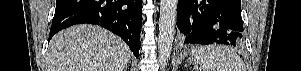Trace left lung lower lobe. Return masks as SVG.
<instances>
[{"label":"left lung lower lobe","instance_id":"obj_1","mask_svg":"<svg viewBox=\"0 0 301 71\" xmlns=\"http://www.w3.org/2000/svg\"><path fill=\"white\" fill-rule=\"evenodd\" d=\"M241 0H178L177 27L186 44L243 42Z\"/></svg>","mask_w":301,"mask_h":71}]
</instances>
